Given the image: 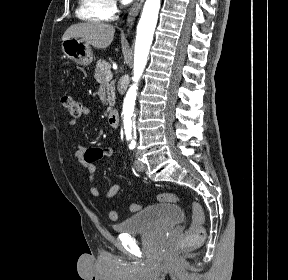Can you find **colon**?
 <instances>
[{
  "mask_svg": "<svg viewBox=\"0 0 288 280\" xmlns=\"http://www.w3.org/2000/svg\"><path fill=\"white\" fill-rule=\"evenodd\" d=\"M62 105L68 111V113L74 118H80L82 116L83 106L81 102L69 95H65L61 99ZM157 200L161 203H175L182 201V198L173 193H163L157 196ZM192 212V226L190 229L181 237L180 245L182 248L194 247L201 244L206 236L205 232V214L203 208L199 203L193 200H187ZM140 205L133 203L130 206L132 212L138 211ZM111 220L115 221L118 218V212L112 210L109 213Z\"/></svg>",
  "mask_w": 288,
  "mask_h": 280,
  "instance_id": "5ec220e1",
  "label": "colon"
}]
</instances>
